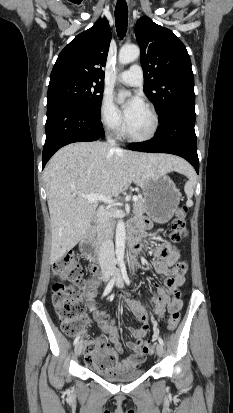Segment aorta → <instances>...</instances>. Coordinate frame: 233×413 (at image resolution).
<instances>
[{"mask_svg": "<svg viewBox=\"0 0 233 413\" xmlns=\"http://www.w3.org/2000/svg\"><path fill=\"white\" fill-rule=\"evenodd\" d=\"M140 56V49L135 45L122 47L119 51L118 61L121 65H126L138 59ZM120 101H124V94L121 92L119 94ZM125 239L126 231L124 221L121 219L118 221L116 228V257L117 263L122 266L124 264V253H125Z\"/></svg>", "mask_w": 233, "mask_h": 413, "instance_id": "aorta-1", "label": "aorta"}]
</instances>
